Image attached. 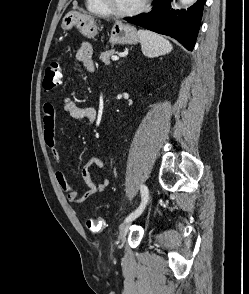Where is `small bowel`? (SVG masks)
Listing matches in <instances>:
<instances>
[{
    "mask_svg": "<svg viewBox=\"0 0 249 294\" xmlns=\"http://www.w3.org/2000/svg\"><path fill=\"white\" fill-rule=\"evenodd\" d=\"M75 60L83 63L89 72L95 71L93 60V49L90 43L83 42L80 44L75 53ZM62 107L65 113L73 119L85 120L92 124L96 121L97 111L93 107L78 106L70 98H64ZM43 112V133L44 141L50 151V154L56 164L61 162V152L56 139V110L52 103H44ZM96 167L100 170L106 169L105 162L98 157L90 158L81 169V176L87 189L80 194L77 189L72 187L66 179L65 173L61 169L55 171V179L60 189L65 193L67 199L72 203H82L88 198L104 192L110 185L108 178H103L99 182H94L91 175V169Z\"/></svg>",
    "mask_w": 249,
    "mask_h": 294,
    "instance_id": "1",
    "label": "small bowel"
}]
</instances>
